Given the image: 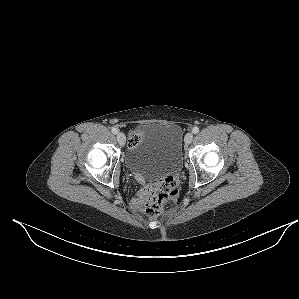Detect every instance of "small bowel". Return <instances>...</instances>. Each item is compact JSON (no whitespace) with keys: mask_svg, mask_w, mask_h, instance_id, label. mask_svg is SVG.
I'll use <instances>...</instances> for the list:
<instances>
[{"mask_svg":"<svg viewBox=\"0 0 299 299\" xmlns=\"http://www.w3.org/2000/svg\"><path fill=\"white\" fill-rule=\"evenodd\" d=\"M152 187L149 185H145L137 194V196L134 199V205L138 208L143 207L144 205H147V202L149 201L150 194H151Z\"/></svg>","mask_w":299,"mask_h":299,"instance_id":"obj_1","label":"small bowel"}]
</instances>
